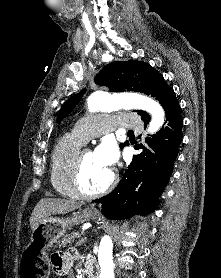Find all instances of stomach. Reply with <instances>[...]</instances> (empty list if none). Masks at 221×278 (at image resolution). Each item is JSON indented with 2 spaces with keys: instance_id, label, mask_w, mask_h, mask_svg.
Returning a JSON list of instances; mask_svg holds the SVG:
<instances>
[{
  "instance_id": "obj_1",
  "label": "stomach",
  "mask_w": 221,
  "mask_h": 278,
  "mask_svg": "<svg viewBox=\"0 0 221 278\" xmlns=\"http://www.w3.org/2000/svg\"><path fill=\"white\" fill-rule=\"evenodd\" d=\"M98 212L85 208L73 213L71 218L48 217L32 232L31 241L21 255L20 278H51V265L48 264L46 250L64 236L72 225L96 219Z\"/></svg>"
}]
</instances>
